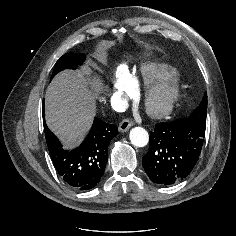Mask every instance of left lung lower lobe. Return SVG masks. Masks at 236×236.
I'll return each mask as SVG.
<instances>
[{"instance_id": "0a47b994", "label": "left lung lower lobe", "mask_w": 236, "mask_h": 236, "mask_svg": "<svg viewBox=\"0 0 236 236\" xmlns=\"http://www.w3.org/2000/svg\"><path fill=\"white\" fill-rule=\"evenodd\" d=\"M206 122L180 118L161 122L150 132V147L142 158L149 178L157 184L172 185L185 178L198 161Z\"/></svg>"}]
</instances>
